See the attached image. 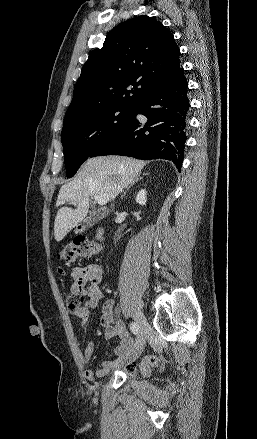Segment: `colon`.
I'll use <instances>...</instances> for the list:
<instances>
[{
	"label": "colon",
	"mask_w": 257,
	"mask_h": 439,
	"mask_svg": "<svg viewBox=\"0 0 257 439\" xmlns=\"http://www.w3.org/2000/svg\"><path fill=\"white\" fill-rule=\"evenodd\" d=\"M100 251V248L97 244L87 240V239H78L73 244L66 246L60 257L67 261L72 262L78 258H90L91 256L97 254ZM85 302V297L81 292H69L64 296V303L66 308L73 314H77L83 309ZM158 363V358L155 356H149L146 360L137 365L135 363H130L126 366V371L130 375H135L138 371L142 373H148L149 367Z\"/></svg>",
	"instance_id": "5ec220e1"
}]
</instances>
